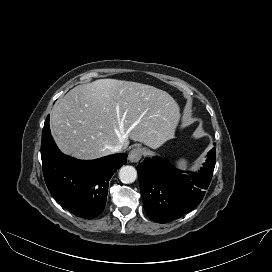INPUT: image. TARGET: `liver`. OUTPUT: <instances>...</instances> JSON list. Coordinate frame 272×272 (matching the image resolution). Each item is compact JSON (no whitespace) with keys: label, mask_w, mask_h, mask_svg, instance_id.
<instances>
[{"label":"liver","mask_w":272,"mask_h":272,"mask_svg":"<svg viewBox=\"0 0 272 272\" xmlns=\"http://www.w3.org/2000/svg\"><path fill=\"white\" fill-rule=\"evenodd\" d=\"M180 109L156 87L99 79L71 89L54 107L50 125L58 147L72 157L91 160L125 149L129 138L153 149L174 138Z\"/></svg>","instance_id":"liver-1"}]
</instances>
